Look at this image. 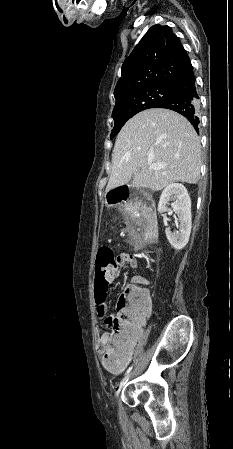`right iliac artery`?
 Returning a JSON list of instances; mask_svg holds the SVG:
<instances>
[{"mask_svg": "<svg viewBox=\"0 0 233 449\" xmlns=\"http://www.w3.org/2000/svg\"><path fill=\"white\" fill-rule=\"evenodd\" d=\"M131 370H132V367H130V368L126 371L125 375H127Z\"/></svg>", "mask_w": 233, "mask_h": 449, "instance_id": "82829eb1", "label": "right iliac artery"}]
</instances>
